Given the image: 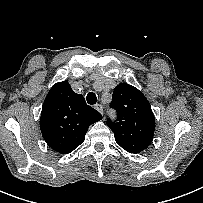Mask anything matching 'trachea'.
<instances>
[{
    "instance_id": "3493384b",
    "label": "trachea",
    "mask_w": 203,
    "mask_h": 203,
    "mask_svg": "<svg viewBox=\"0 0 203 203\" xmlns=\"http://www.w3.org/2000/svg\"><path fill=\"white\" fill-rule=\"evenodd\" d=\"M86 99H87V103H88V104H90V105L96 104L97 97H96V94H95V93L89 92V93L87 94Z\"/></svg>"
}]
</instances>
